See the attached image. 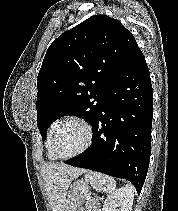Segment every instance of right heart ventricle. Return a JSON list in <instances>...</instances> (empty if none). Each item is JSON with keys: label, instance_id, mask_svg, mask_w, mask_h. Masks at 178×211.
Returning <instances> with one entry per match:
<instances>
[{"label": "right heart ventricle", "instance_id": "right-heart-ventricle-1", "mask_svg": "<svg viewBox=\"0 0 178 211\" xmlns=\"http://www.w3.org/2000/svg\"><path fill=\"white\" fill-rule=\"evenodd\" d=\"M60 122H61L60 119L55 120L54 122H52V124L50 125L49 130H48L47 139H46V150H47V157L50 160L57 159V157L55 156V154L52 151L51 142H52L53 132Z\"/></svg>", "mask_w": 178, "mask_h": 211}]
</instances>
